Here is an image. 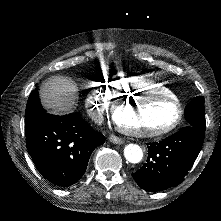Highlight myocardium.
<instances>
[{"label":"myocardium","mask_w":221,"mask_h":221,"mask_svg":"<svg viewBox=\"0 0 221 221\" xmlns=\"http://www.w3.org/2000/svg\"><path fill=\"white\" fill-rule=\"evenodd\" d=\"M161 102V103H169V105L173 106V114L172 117L169 118L168 122L165 123L164 126L161 127H157L155 129H142L141 131L139 130H132L125 127L123 125V123L121 122V120L119 119V113L122 110V106H128V107H141L142 104L144 102ZM182 105L179 103L178 98L171 95H167L164 93H160V92H155L151 94H148L146 92H143L138 96V98L135 99H119L115 102H113V104L110 107V111L108 112V117H107V122L110 125H114L115 129L118 130L119 134L121 136H125V137H134V138H144L145 136L147 137V139L152 140V139H156L159 138L161 135H163L164 133H168L172 127H175L179 124L180 119H181V115H182Z\"/></svg>","instance_id":"myocardium-1"}]
</instances>
